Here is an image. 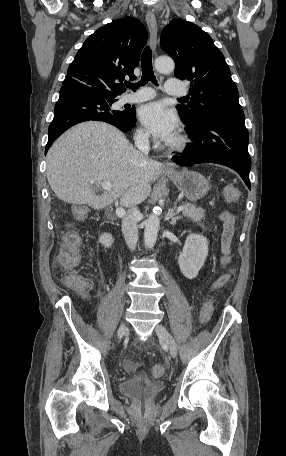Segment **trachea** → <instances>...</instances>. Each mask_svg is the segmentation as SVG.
Segmentation results:
<instances>
[{
	"label": "trachea",
	"instance_id": "1",
	"mask_svg": "<svg viewBox=\"0 0 286 456\" xmlns=\"http://www.w3.org/2000/svg\"><path fill=\"white\" fill-rule=\"evenodd\" d=\"M141 67H142V77L140 82L138 83H130L127 82L125 83V87L132 89L135 91L136 89L139 88V86H144L145 84L148 83V81H151L155 85H157V80L153 72V67H152V51L149 47H146L142 53V58H141ZM182 100L186 98H180Z\"/></svg>",
	"mask_w": 286,
	"mask_h": 456
}]
</instances>
